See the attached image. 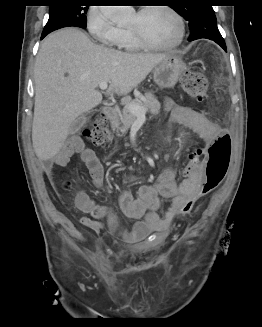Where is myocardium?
Instances as JSON below:
<instances>
[{"mask_svg":"<svg viewBox=\"0 0 262 327\" xmlns=\"http://www.w3.org/2000/svg\"><path fill=\"white\" fill-rule=\"evenodd\" d=\"M151 9H163L169 12L177 21L179 26V35L177 39L169 44H157L155 42H152L150 39H148L143 33H141L139 30L135 28H128V30L132 33L136 41L143 47L151 50H171L174 48H177L182 44L184 41L185 35H186V26L185 21L182 17V15L172 6L167 4H161V5H152V6H145L141 7L137 13L141 14L145 11L151 10Z\"/></svg>","mask_w":262,"mask_h":327,"instance_id":"1","label":"myocardium"}]
</instances>
